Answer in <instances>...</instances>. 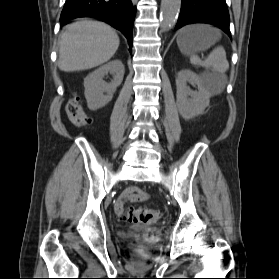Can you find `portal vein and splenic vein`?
I'll return each mask as SVG.
<instances>
[{"label": "portal vein and splenic vein", "mask_w": 279, "mask_h": 279, "mask_svg": "<svg viewBox=\"0 0 279 279\" xmlns=\"http://www.w3.org/2000/svg\"><path fill=\"white\" fill-rule=\"evenodd\" d=\"M201 58H202V59H205V55H204V54H202V55H201Z\"/></svg>", "instance_id": "1"}]
</instances>
